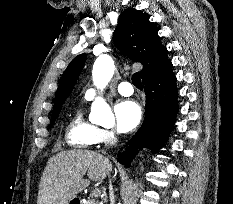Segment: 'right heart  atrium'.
<instances>
[{
	"label": "right heart atrium",
	"instance_id": "right-heart-atrium-1",
	"mask_svg": "<svg viewBox=\"0 0 233 204\" xmlns=\"http://www.w3.org/2000/svg\"><path fill=\"white\" fill-rule=\"evenodd\" d=\"M115 139V133L108 129H99L97 143H108Z\"/></svg>",
	"mask_w": 233,
	"mask_h": 204
}]
</instances>
